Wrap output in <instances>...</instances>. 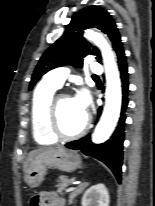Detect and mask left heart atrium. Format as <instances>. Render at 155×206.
I'll return each instance as SVG.
<instances>
[{
    "label": "left heart atrium",
    "mask_w": 155,
    "mask_h": 206,
    "mask_svg": "<svg viewBox=\"0 0 155 206\" xmlns=\"http://www.w3.org/2000/svg\"><path fill=\"white\" fill-rule=\"evenodd\" d=\"M74 100L79 108V110L86 115L89 107V96L87 92L81 91L75 97Z\"/></svg>",
    "instance_id": "obj_1"
}]
</instances>
